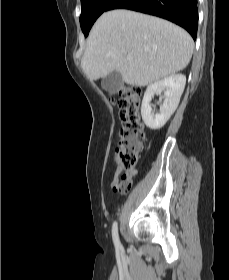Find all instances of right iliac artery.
Masks as SVG:
<instances>
[{"label":"right iliac artery","mask_w":229,"mask_h":280,"mask_svg":"<svg viewBox=\"0 0 229 280\" xmlns=\"http://www.w3.org/2000/svg\"><path fill=\"white\" fill-rule=\"evenodd\" d=\"M112 237H113V241H114L116 249H118V250L121 249V244H120V241H119V238H118L117 222L113 223Z\"/></svg>","instance_id":"1"}]
</instances>
